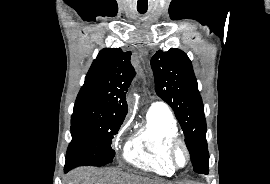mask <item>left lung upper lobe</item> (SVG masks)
I'll return each mask as SVG.
<instances>
[{
	"label": "left lung upper lobe",
	"instance_id": "5c2ea615",
	"mask_svg": "<svg viewBox=\"0 0 270 184\" xmlns=\"http://www.w3.org/2000/svg\"><path fill=\"white\" fill-rule=\"evenodd\" d=\"M157 95L174 110L185 135L193 169L208 174L206 120L197 81L188 56L181 50H159L151 58Z\"/></svg>",
	"mask_w": 270,
	"mask_h": 184
}]
</instances>
